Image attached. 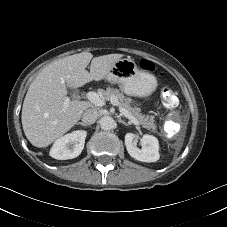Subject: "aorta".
<instances>
[{
    "instance_id": "aorta-1",
    "label": "aorta",
    "mask_w": 227,
    "mask_h": 227,
    "mask_svg": "<svg viewBox=\"0 0 227 227\" xmlns=\"http://www.w3.org/2000/svg\"><path fill=\"white\" fill-rule=\"evenodd\" d=\"M99 123L103 130H111L115 127V121L111 116L101 117Z\"/></svg>"
}]
</instances>
